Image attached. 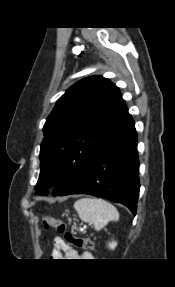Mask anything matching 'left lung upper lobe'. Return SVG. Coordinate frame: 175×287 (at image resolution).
<instances>
[{
	"instance_id": "left-lung-upper-lobe-1",
	"label": "left lung upper lobe",
	"mask_w": 175,
	"mask_h": 287,
	"mask_svg": "<svg viewBox=\"0 0 175 287\" xmlns=\"http://www.w3.org/2000/svg\"><path fill=\"white\" fill-rule=\"evenodd\" d=\"M119 88L102 76L84 78L57 101L44 125L37 194H59L91 163L103 144L131 120Z\"/></svg>"
}]
</instances>
